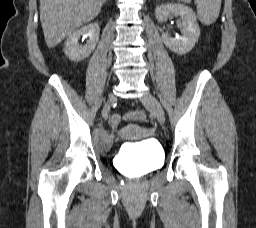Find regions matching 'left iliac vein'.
<instances>
[{
    "instance_id": "left-iliac-vein-1",
    "label": "left iliac vein",
    "mask_w": 256,
    "mask_h": 228,
    "mask_svg": "<svg viewBox=\"0 0 256 228\" xmlns=\"http://www.w3.org/2000/svg\"><path fill=\"white\" fill-rule=\"evenodd\" d=\"M142 103L148 107L156 116L158 122L162 125L165 123L164 110L159 101L150 93H145L141 97Z\"/></svg>"
}]
</instances>
